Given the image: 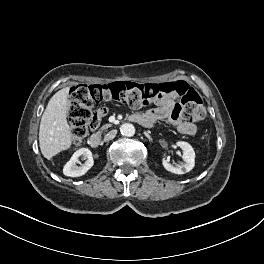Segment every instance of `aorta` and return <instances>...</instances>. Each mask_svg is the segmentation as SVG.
<instances>
[{"mask_svg": "<svg viewBox=\"0 0 264 264\" xmlns=\"http://www.w3.org/2000/svg\"><path fill=\"white\" fill-rule=\"evenodd\" d=\"M120 132L123 136L131 137L135 134V127L130 123H124L120 127Z\"/></svg>", "mask_w": 264, "mask_h": 264, "instance_id": "762f6f07", "label": "aorta"}]
</instances>
